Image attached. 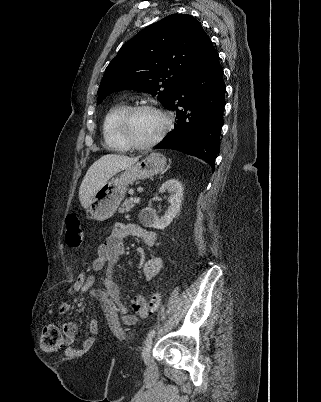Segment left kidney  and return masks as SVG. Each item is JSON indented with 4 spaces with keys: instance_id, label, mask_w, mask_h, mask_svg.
Returning a JSON list of instances; mask_svg holds the SVG:
<instances>
[{
    "instance_id": "1",
    "label": "left kidney",
    "mask_w": 321,
    "mask_h": 402,
    "mask_svg": "<svg viewBox=\"0 0 321 402\" xmlns=\"http://www.w3.org/2000/svg\"><path fill=\"white\" fill-rule=\"evenodd\" d=\"M183 186L177 179H169L164 182L159 188V193H164L166 191L171 193L169 197V206L163 217H159L155 210L150 207L143 209L140 212V219L147 226L156 229H165L175 218L177 213L180 211V206L183 197Z\"/></svg>"
}]
</instances>
